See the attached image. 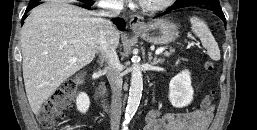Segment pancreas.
Here are the masks:
<instances>
[{"instance_id":"obj_1","label":"pancreas","mask_w":257,"mask_h":130,"mask_svg":"<svg viewBox=\"0 0 257 130\" xmlns=\"http://www.w3.org/2000/svg\"><path fill=\"white\" fill-rule=\"evenodd\" d=\"M172 53H173V50H170V51H166V52L164 53V55H165L166 57H169Z\"/></svg>"}]
</instances>
